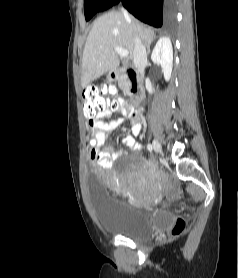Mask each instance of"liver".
<instances>
[{
  "mask_svg": "<svg viewBox=\"0 0 238 278\" xmlns=\"http://www.w3.org/2000/svg\"><path fill=\"white\" fill-rule=\"evenodd\" d=\"M148 43L155 38L154 30L136 19L125 18L122 12L111 11L97 18L88 35L82 58L83 88L106 72L118 68L120 61L114 47L126 49L133 59L134 38Z\"/></svg>",
  "mask_w": 238,
  "mask_h": 278,
  "instance_id": "1",
  "label": "liver"
}]
</instances>
